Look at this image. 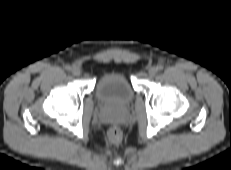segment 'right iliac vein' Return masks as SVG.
I'll return each mask as SVG.
<instances>
[{"mask_svg":"<svg viewBox=\"0 0 231 170\" xmlns=\"http://www.w3.org/2000/svg\"><path fill=\"white\" fill-rule=\"evenodd\" d=\"M81 73L80 69L78 67H73L72 68V74L75 76H79Z\"/></svg>","mask_w":231,"mask_h":170,"instance_id":"1","label":"right iliac vein"}]
</instances>
